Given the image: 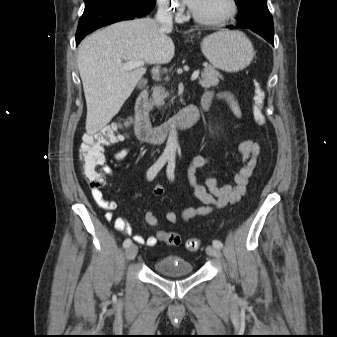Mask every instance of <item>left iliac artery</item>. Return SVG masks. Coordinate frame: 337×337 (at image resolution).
I'll list each match as a JSON object with an SVG mask.
<instances>
[{"label":"left iliac artery","mask_w":337,"mask_h":337,"mask_svg":"<svg viewBox=\"0 0 337 337\" xmlns=\"http://www.w3.org/2000/svg\"><path fill=\"white\" fill-rule=\"evenodd\" d=\"M174 169H175V157L171 156L168 161L167 166V175L170 180L174 179ZM213 246L220 249L222 248L223 244L220 240H213Z\"/></svg>","instance_id":"44dca946"}]
</instances>
